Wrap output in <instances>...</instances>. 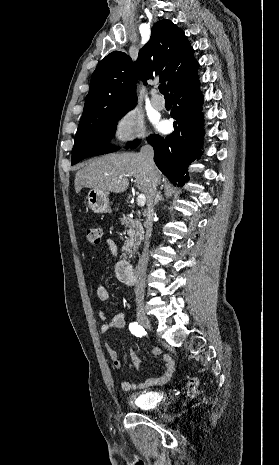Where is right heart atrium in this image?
<instances>
[{"instance_id": "obj_1", "label": "right heart atrium", "mask_w": 279, "mask_h": 465, "mask_svg": "<svg viewBox=\"0 0 279 465\" xmlns=\"http://www.w3.org/2000/svg\"><path fill=\"white\" fill-rule=\"evenodd\" d=\"M116 141L130 144L147 137V130L142 114L135 108L122 110L115 119L112 131Z\"/></svg>"}]
</instances>
